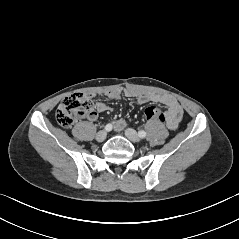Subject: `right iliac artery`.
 Returning a JSON list of instances; mask_svg holds the SVG:
<instances>
[{
    "label": "right iliac artery",
    "instance_id": "1",
    "mask_svg": "<svg viewBox=\"0 0 239 239\" xmlns=\"http://www.w3.org/2000/svg\"><path fill=\"white\" fill-rule=\"evenodd\" d=\"M112 128H113L112 124H107V125L105 126V130L108 131V132L111 131Z\"/></svg>",
    "mask_w": 239,
    "mask_h": 239
}]
</instances>
